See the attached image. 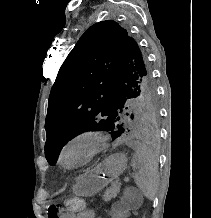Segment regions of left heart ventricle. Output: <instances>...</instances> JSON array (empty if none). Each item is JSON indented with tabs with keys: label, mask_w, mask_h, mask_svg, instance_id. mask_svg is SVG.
I'll list each match as a JSON object with an SVG mask.
<instances>
[{
	"label": "left heart ventricle",
	"mask_w": 211,
	"mask_h": 218,
	"mask_svg": "<svg viewBox=\"0 0 211 218\" xmlns=\"http://www.w3.org/2000/svg\"><path fill=\"white\" fill-rule=\"evenodd\" d=\"M88 152V148L85 146H76L71 149L68 160L71 162L81 160L85 157Z\"/></svg>",
	"instance_id": "1"
}]
</instances>
